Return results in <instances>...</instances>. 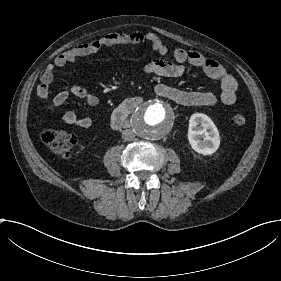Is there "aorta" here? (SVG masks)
I'll use <instances>...</instances> for the list:
<instances>
[{
	"mask_svg": "<svg viewBox=\"0 0 281 281\" xmlns=\"http://www.w3.org/2000/svg\"><path fill=\"white\" fill-rule=\"evenodd\" d=\"M174 116L159 101L145 102L131 116L133 130L147 140H158L170 132Z\"/></svg>",
	"mask_w": 281,
	"mask_h": 281,
	"instance_id": "obj_1",
	"label": "aorta"
}]
</instances>
